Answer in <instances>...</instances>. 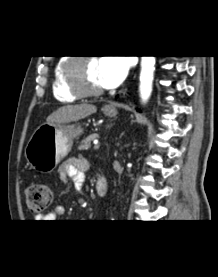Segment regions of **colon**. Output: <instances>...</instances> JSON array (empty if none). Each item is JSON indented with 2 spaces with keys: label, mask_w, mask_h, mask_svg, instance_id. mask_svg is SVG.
Instances as JSON below:
<instances>
[{
  "label": "colon",
  "mask_w": 218,
  "mask_h": 277,
  "mask_svg": "<svg viewBox=\"0 0 218 277\" xmlns=\"http://www.w3.org/2000/svg\"><path fill=\"white\" fill-rule=\"evenodd\" d=\"M52 197V190L46 184L32 183L26 188V203L34 213H43L50 206Z\"/></svg>",
  "instance_id": "obj_1"
}]
</instances>
